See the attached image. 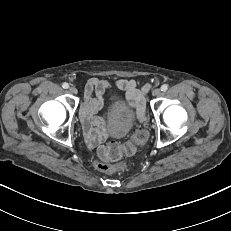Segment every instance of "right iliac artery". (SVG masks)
<instances>
[{"mask_svg":"<svg viewBox=\"0 0 231 231\" xmlns=\"http://www.w3.org/2000/svg\"><path fill=\"white\" fill-rule=\"evenodd\" d=\"M62 87H63L64 89H68V88H69V84L65 82V83L62 84Z\"/></svg>","mask_w":231,"mask_h":231,"instance_id":"82829eb1","label":"right iliac artery"}]
</instances>
